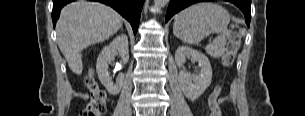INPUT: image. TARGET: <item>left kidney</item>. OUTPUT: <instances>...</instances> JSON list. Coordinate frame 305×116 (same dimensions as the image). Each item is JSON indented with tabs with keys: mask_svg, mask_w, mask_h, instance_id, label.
Here are the masks:
<instances>
[{
	"mask_svg": "<svg viewBox=\"0 0 305 116\" xmlns=\"http://www.w3.org/2000/svg\"><path fill=\"white\" fill-rule=\"evenodd\" d=\"M187 57L198 62L200 71L197 75H190L182 69ZM175 63L180 68L178 80L185 97L192 101L198 99L211 84L212 68L209 59L197 50L180 46L175 52Z\"/></svg>",
	"mask_w": 305,
	"mask_h": 116,
	"instance_id": "obj_1",
	"label": "left kidney"
}]
</instances>
